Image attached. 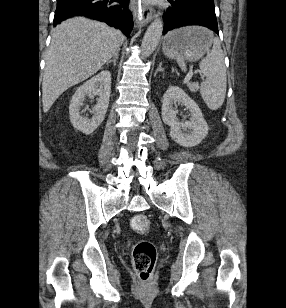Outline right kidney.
Wrapping results in <instances>:
<instances>
[{
  "instance_id": "ca27d5eb",
  "label": "right kidney",
  "mask_w": 286,
  "mask_h": 308,
  "mask_svg": "<svg viewBox=\"0 0 286 308\" xmlns=\"http://www.w3.org/2000/svg\"><path fill=\"white\" fill-rule=\"evenodd\" d=\"M99 87V88H98ZM95 93L99 95L97 104L92 108L93 114L91 119L81 116V106L87 95ZM111 93V73L101 71L98 75L81 85L70 101L69 115L70 121L75 129L86 135L93 133L102 123L107 112Z\"/></svg>"
}]
</instances>
